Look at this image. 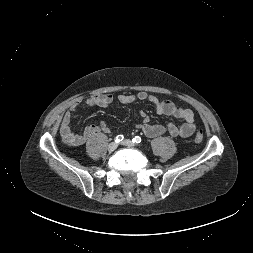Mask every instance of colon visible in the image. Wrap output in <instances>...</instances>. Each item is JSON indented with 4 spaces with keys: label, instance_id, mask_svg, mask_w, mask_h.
Instances as JSON below:
<instances>
[{
    "label": "colon",
    "instance_id": "obj_1",
    "mask_svg": "<svg viewBox=\"0 0 253 253\" xmlns=\"http://www.w3.org/2000/svg\"><path fill=\"white\" fill-rule=\"evenodd\" d=\"M203 136H204L203 130H199V131L196 133L195 137H194V141H195L196 143L202 142Z\"/></svg>",
    "mask_w": 253,
    "mask_h": 253
}]
</instances>
